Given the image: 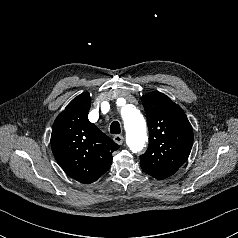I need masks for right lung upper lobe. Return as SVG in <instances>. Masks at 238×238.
Returning a JSON list of instances; mask_svg holds the SVG:
<instances>
[{
  "label": "right lung upper lobe",
  "mask_w": 238,
  "mask_h": 238,
  "mask_svg": "<svg viewBox=\"0 0 238 238\" xmlns=\"http://www.w3.org/2000/svg\"><path fill=\"white\" fill-rule=\"evenodd\" d=\"M89 109V93L78 95L57 116L51 134V149L60 167L85 184L96 181L110 168L112 152L119 148L88 120Z\"/></svg>",
  "instance_id": "right-lung-upper-lobe-1"
}]
</instances>
